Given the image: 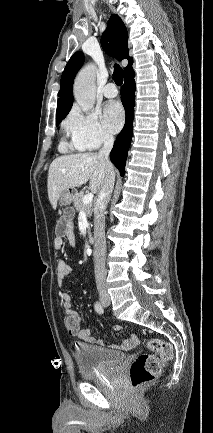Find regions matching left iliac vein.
Returning <instances> with one entry per match:
<instances>
[{"instance_id":"obj_1","label":"left iliac vein","mask_w":213,"mask_h":433,"mask_svg":"<svg viewBox=\"0 0 213 433\" xmlns=\"http://www.w3.org/2000/svg\"><path fill=\"white\" fill-rule=\"evenodd\" d=\"M110 304V300L108 299L105 303L104 306H108Z\"/></svg>"}]
</instances>
